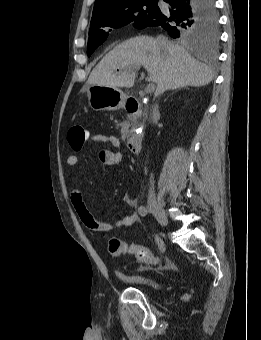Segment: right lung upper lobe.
I'll list each match as a JSON object with an SVG mask.
<instances>
[{"mask_svg":"<svg viewBox=\"0 0 261 340\" xmlns=\"http://www.w3.org/2000/svg\"><path fill=\"white\" fill-rule=\"evenodd\" d=\"M144 0H95L91 21L102 19L103 17L116 12L118 9Z\"/></svg>","mask_w":261,"mask_h":340,"instance_id":"cb5924a9","label":"right lung upper lobe"}]
</instances>
